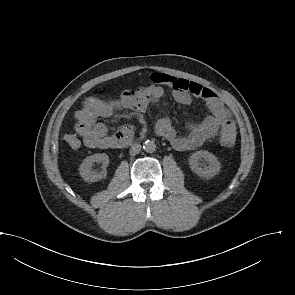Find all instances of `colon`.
<instances>
[{
	"mask_svg": "<svg viewBox=\"0 0 295 295\" xmlns=\"http://www.w3.org/2000/svg\"><path fill=\"white\" fill-rule=\"evenodd\" d=\"M99 93L105 94L104 91H99ZM65 140L70 147L77 144V137H76V134L73 132L66 133ZM235 140H236L235 125L231 122L225 123L223 127L221 128V134H220L221 144L225 147H231L235 143Z\"/></svg>",
	"mask_w": 295,
	"mask_h": 295,
	"instance_id": "5ec220e1",
	"label": "colon"
}]
</instances>
